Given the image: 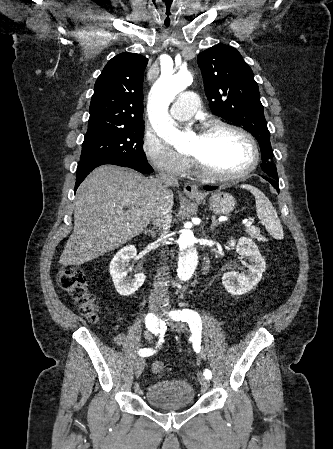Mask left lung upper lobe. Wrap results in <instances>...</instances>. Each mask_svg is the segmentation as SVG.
<instances>
[{"instance_id": "1", "label": "left lung upper lobe", "mask_w": 333, "mask_h": 449, "mask_svg": "<svg viewBox=\"0 0 333 449\" xmlns=\"http://www.w3.org/2000/svg\"><path fill=\"white\" fill-rule=\"evenodd\" d=\"M197 60L211 111L242 125L255 136L260 144L262 170L277 179L276 166L271 161L270 133L251 68L235 48L224 44L206 49Z\"/></svg>"}]
</instances>
